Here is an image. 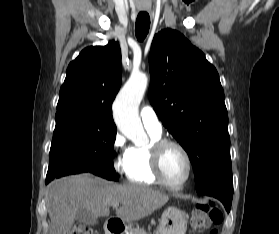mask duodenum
Here are the masks:
<instances>
[{"label":"duodenum","mask_w":279,"mask_h":234,"mask_svg":"<svg viewBox=\"0 0 279 234\" xmlns=\"http://www.w3.org/2000/svg\"><path fill=\"white\" fill-rule=\"evenodd\" d=\"M123 225L116 219H108L106 222V231L108 234H122Z\"/></svg>","instance_id":"410a0bca"}]
</instances>
